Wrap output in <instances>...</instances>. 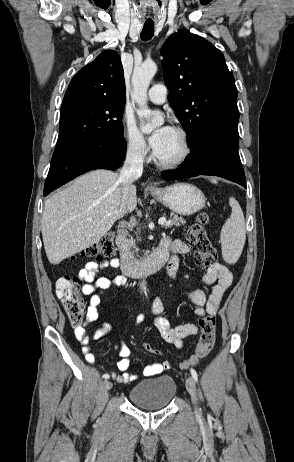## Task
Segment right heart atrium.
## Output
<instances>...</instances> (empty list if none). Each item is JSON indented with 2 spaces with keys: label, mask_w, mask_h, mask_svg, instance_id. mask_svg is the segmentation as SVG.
<instances>
[{
  "label": "right heart atrium",
  "mask_w": 294,
  "mask_h": 462,
  "mask_svg": "<svg viewBox=\"0 0 294 462\" xmlns=\"http://www.w3.org/2000/svg\"><path fill=\"white\" fill-rule=\"evenodd\" d=\"M122 120L127 151L136 158H146L148 153L147 144L134 120L127 113H124Z\"/></svg>",
  "instance_id": "obj_1"
}]
</instances>
